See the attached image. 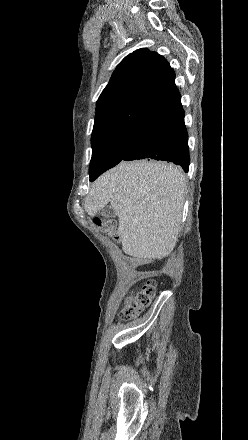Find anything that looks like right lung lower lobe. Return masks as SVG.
<instances>
[{"label":"right lung lower lobe","instance_id":"obj_1","mask_svg":"<svg viewBox=\"0 0 248 440\" xmlns=\"http://www.w3.org/2000/svg\"><path fill=\"white\" fill-rule=\"evenodd\" d=\"M139 159L170 161L188 171V134L181 99L151 114L130 130L122 160Z\"/></svg>","mask_w":248,"mask_h":440}]
</instances>
